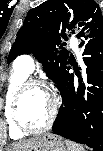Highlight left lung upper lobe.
Returning a JSON list of instances; mask_svg holds the SVG:
<instances>
[{"label": "left lung upper lobe", "instance_id": "1", "mask_svg": "<svg viewBox=\"0 0 103 151\" xmlns=\"http://www.w3.org/2000/svg\"><path fill=\"white\" fill-rule=\"evenodd\" d=\"M103 30V17L93 0H48L30 10L17 33L7 63L20 54L33 53L43 65L47 76L55 81L69 60V52L62 48L61 38L67 39L65 30L77 32ZM70 36V34H69Z\"/></svg>", "mask_w": 103, "mask_h": 151}]
</instances>
